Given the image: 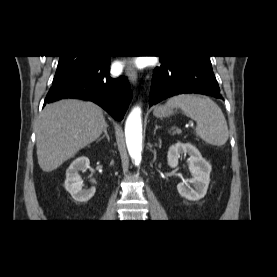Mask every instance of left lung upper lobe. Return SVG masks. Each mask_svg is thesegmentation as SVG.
Returning <instances> with one entry per match:
<instances>
[{"mask_svg":"<svg viewBox=\"0 0 277 277\" xmlns=\"http://www.w3.org/2000/svg\"><path fill=\"white\" fill-rule=\"evenodd\" d=\"M192 57L209 58V56H192Z\"/></svg>","mask_w":277,"mask_h":277,"instance_id":"1","label":"left lung upper lobe"}]
</instances>
